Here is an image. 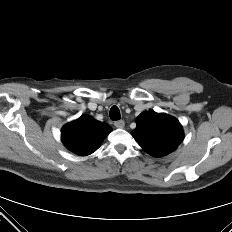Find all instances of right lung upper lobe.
I'll list each match as a JSON object with an SVG mask.
<instances>
[{
	"mask_svg": "<svg viewBox=\"0 0 232 232\" xmlns=\"http://www.w3.org/2000/svg\"><path fill=\"white\" fill-rule=\"evenodd\" d=\"M110 132L111 127L108 124L97 121L89 115H82L65 125L61 136L68 150L80 156H87L99 148Z\"/></svg>",
	"mask_w": 232,
	"mask_h": 232,
	"instance_id": "cb5924a9",
	"label": "right lung upper lobe"
}]
</instances>
